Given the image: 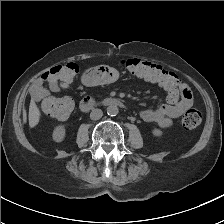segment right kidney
Listing matches in <instances>:
<instances>
[{
	"label": "right kidney",
	"instance_id": "obj_1",
	"mask_svg": "<svg viewBox=\"0 0 224 224\" xmlns=\"http://www.w3.org/2000/svg\"><path fill=\"white\" fill-rule=\"evenodd\" d=\"M66 137L65 125H58L52 132V139L55 143H62Z\"/></svg>",
	"mask_w": 224,
	"mask_h": 224
}]
</instances>
